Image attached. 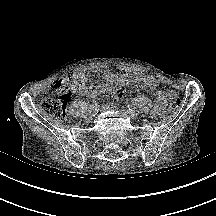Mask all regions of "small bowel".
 Returning a JSON list of instances; mask_svg holds the SVG:
<instances>
[{
    "label": "small bowel",
    "instance_id": "obj_1",
    "mask_svg": "<svg viewBox=\"0 0 216 216\" xmlns=\"http://www.w3.org/2000/svg\"><path fill=\"white\" fill-rule=\"evenodd\" d=\"M103 79L106 82L115 84L117 86L124 84H134L141 88H146L149 90H156L157 88V83L154 77L150 75L133 73L128 69H123L120 73L107 70L103 74ZM74 91L77 94L86 97H98L104 93H109L116 99L123 98V93L118 88L104 83L97 85H87L82 81L74 87ZM155 96L156 103L152 109V114L157 117L163 113L164 106L168 97V91L164 89H158L155 92Z\"/></svg>",
    "mask_w": 216,
    "mask_h": 216
}]
</instances>
